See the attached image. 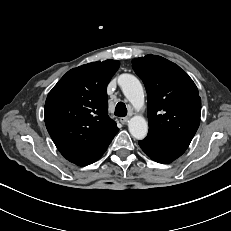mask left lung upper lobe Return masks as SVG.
<instances>
[{
  "label": "left lung upper lobe",
  "mask_w": 231,
  "mask_h": 231,
  "mask_svg": "<svg viewBox=\"0 0 231 231\" xmlns=\"http://www.w3.org/2000/svg\"><path fill=\"white\" fill-rule=\"evenodd\" d=\"M132 63L147 91L148 134L186 150L200 123L201 98L195 83L178 65L157 55Z\"/></svg>",
  "instance_id": "5c2ea615"
}]
</instances>
